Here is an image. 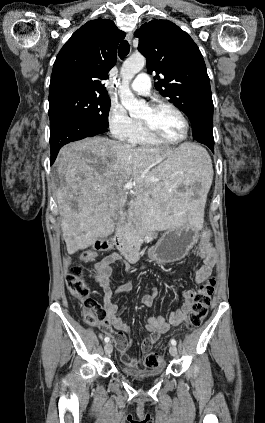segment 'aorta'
<instances>
[{"label": "aorta", "instance_id": "aorta-1", "mask_svg": "<svg viewBox=\"0 0 265 423\" xmlns=\"http://www.w3.org/2000/svg\"><path fill=\"white\" fill-rule=\"evenodd\" d=\"M145 58L138 54L130 56L121 67L122 85L120 86V96L122 105L128 110L131 116L141 113L146 104L143 100H138L129 88V84L134 76L145 66Z\"/></svg>", "mask_w": 265, "mask_h": 423}]
</instances>
